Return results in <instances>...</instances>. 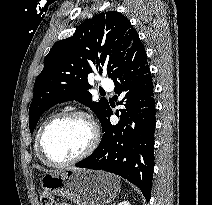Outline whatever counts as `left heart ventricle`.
<instances>
[{
    "label": "left heart ventricle",
    "mask_w": 212,
    "mask_h": 205,
    "mask_svg": "<svg viewBox=\"0 0 212 205\" xmlns=\"http://www.w3.org/2000/svg\"><path fill=\"white\" fill-rule=\"evenodd\" d=\"M91 139V129L82 118L71 117L58 121L47 132L44 146L51 158L69 160L79 155Z\"/></svg>",
    "instance_id": "obj_1"
}]
</instances>
